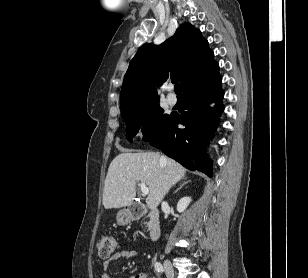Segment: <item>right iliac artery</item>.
I'll use <instances>...</instances> for the list:
<instances>
[{
  "label": "right iliac artery",
  "mask_w": 308,
  "mask_h": 278,
  "mask_svg": "<svg viewBox=\"0 0 308 278\" xmlns=\"http://www.w3.org/2000/svg\"><path fill=\"white\" fill-rule=\"evenodd\" d=\"M154 267H155V270H156L157 272H160V273L163 272V266H162V264H161L160 262H156L155 265H154Z\"/></svg>",
  "instance_id": "right-iliac-artery-1"
}]
</instances>
